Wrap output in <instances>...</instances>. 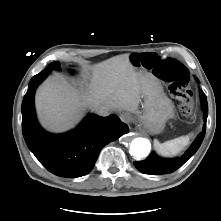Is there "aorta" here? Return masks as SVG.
Instances as JSON below:
<instances>
[{"mask_svg":"<svg viewBox=\"0 0 221 221\" xmlns=\"http://www.w3.org/2000/svg\"><path fill=\"white\" fill-rule=\"evenodd\" d=\"M130 149L135 157L144 158L150 153L151 145L145 138H134L131 142Z\"/></svg>","mask_w":221,"mask_h":221,"instance_id":"762f6f07","label":"aorta"}]
</instances>
